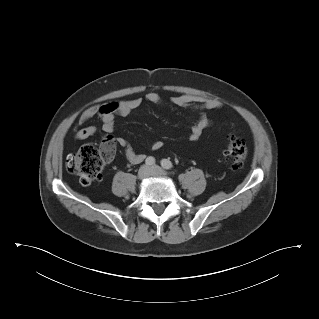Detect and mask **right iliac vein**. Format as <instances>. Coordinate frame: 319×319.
Instances as JSON below:
<instances>
[{
    "label": "right iliac vein",
    "instance_id": "1",
    "mask_svg": "<svg viewBox=\"0 0 319 319\" xmlns=\"http://www.w3.org/2000/svg\"><path fill=\"white\" fill-rule=\"evenodd\" d=\"M150 173H151V169L148 166L144 165L138 171V174H137L138 179L143 180L147 178L150 175Z\"/></svg>",
    "mask_w": 319,
    "mask_h": 319
}]
</instances>
